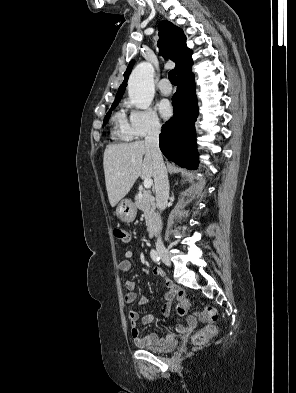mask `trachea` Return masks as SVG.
Segmentation results:
<instances>
[{
    "instance_id": "3493384b",
    "label": "trachea",
    "mask_w": 296,
    "mask_h": 393,
    "mask_svg": "<svg viewBox=\"0 0 296 393\" xmlns=\"http://www.w3.org/2000/svg\"><path fill=\"white\" fill-rule=\"evenodd\" d=\"M169 80L172 84H177V77H176V72L174 70H171L168 74Z\"/></svg>"
}]
</instances>
